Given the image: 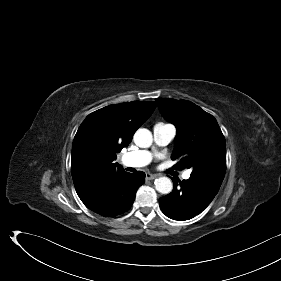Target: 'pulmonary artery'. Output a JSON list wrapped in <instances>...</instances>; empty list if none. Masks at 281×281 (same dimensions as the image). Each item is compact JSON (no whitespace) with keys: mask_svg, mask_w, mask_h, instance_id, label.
<instances>
[{"mask_svg":"<svg viewBox=\"0 0 281 281\" xmlns=\"http://www.w3.org/2000/svg\"><path fill=\"white\" fill-rule=\"evenodd\" d=\"M176 129L171 124L158 123L153 127L154 143L158 147L168 145L175 137ZM152 160V153L148 150H140L127 153L122 157V161L129 167H143L148 165ZM191 171H185L183 179H189Z\"/></svg>","mask_w":281,"mask_h":281,"instance_id":"obj_1","label":"pulmonary artery"}]
</instances>
